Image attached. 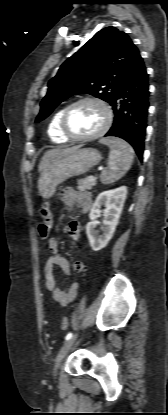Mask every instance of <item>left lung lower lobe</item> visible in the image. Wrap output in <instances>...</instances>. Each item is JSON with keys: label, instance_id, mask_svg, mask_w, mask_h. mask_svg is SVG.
<instances>
[{"label": "left lung lower lobe", "instance_id": "0a47b994", "mask_svg": "<svg viewBox=\"0 0 168 415\" xmlns=\"http://www.w3.org/2000/svg\"><path fill=\"white\" fill-rule=\"evenodd\" d=\"M148 74L141 56L123 79L110 105L114 122L105 136H115L132 145L140 160L143 158L148 114Z\"/></svg>", "mask_w": 168, "mask_h": 415}]
</instances>
